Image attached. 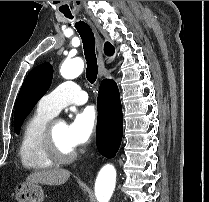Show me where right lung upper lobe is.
<instances>
[{"label": "right lung upper lobe", "instance_id": "obj_1", "mask_svg": "<svg viewBox=\"0 0 209 202\" xmlns=\"http://www.w3.org/2000/svg\"><path fill=\"white\" fill-rule=\"evenodd\" d=\"M104 52H105L107 55L111 56V55L114 53V48H113V46H112L110 43L107 42V43L105 44V47H104ZM107 82L114 83L113 80H109V79H105V80L102 81V83H107Z\"/></svg>", "mask_w": 209, "mask_h": 202}]
</instances>
